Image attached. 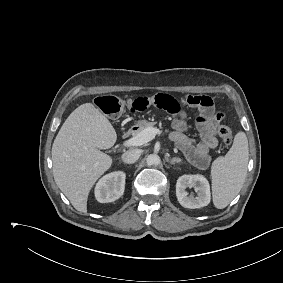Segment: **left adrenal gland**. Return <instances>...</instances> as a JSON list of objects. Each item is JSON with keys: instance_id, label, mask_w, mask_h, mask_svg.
Wrapping results in <instances>:
<instances>
[{"instance_id": "a2214340", "label": "left adrenal gland", "mask_w": 283, "mask_h": 283, "mask_svg": "<svg viewBox=\"0 0 283 283\" xmlns=\"http://www.w3.org/2000/svg\"><path fill=\"white\" fill-rule=\"evenodd\" d=\"M166 161L170 164L174 165L175 163H180L181 160L178 158L169 159V155H166Z\"/></svg>"}]
</instances>
